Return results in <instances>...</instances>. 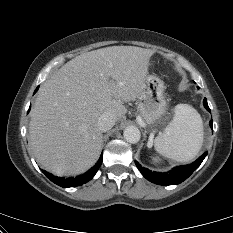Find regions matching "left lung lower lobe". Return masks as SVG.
<instances>
[{
	"label": "left lung lower lobe",
	"mask_w": 233,
	"mask_h": 233,
	"mask_svg": "<svg viewBox=\"0 0 233 233\" xmlns=\"http://www.w3.org/2000/svg\"><path fill=\"white\" fill-rule=\"evenodd\" d=\"M203 104L205 108L210 112V108L208 106L206 98L203 100ZM209 124L212 128L213 121L211 120ZM206 155L207 152L202 154L194 163L186 166L175 167L168 173L152 172L146 168L141 167L138 162H135V164L142 175L152 183L158 185H176L187 179L200 166Z\"/></svg>",
	"instance_id": "1"
}]
</instances>
